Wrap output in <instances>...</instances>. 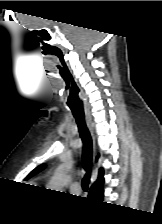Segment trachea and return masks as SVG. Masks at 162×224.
<instances>
[{
	"label": "trachea",
	"instance_id": "obj_1",
	"mask_svg": "<svg viewBox=\"0 0 162 224\" xmlns=\"http://www.w3.org/2000/svg\"><path fill=\"white\" fill-rule=\"evenodd\" d=\"M75 121L77 123L80 137L83 142V154H82V163L83 168L86 171V174L82 180V188L84 191H87L89 182H90V166L92 162V154H93V148H92V139L91 135L89 133V130L85 123L84 117L74 116Z\"/></svg>",
	"mask_w": 162,
	"mask_h": 224
}]
</instances>
